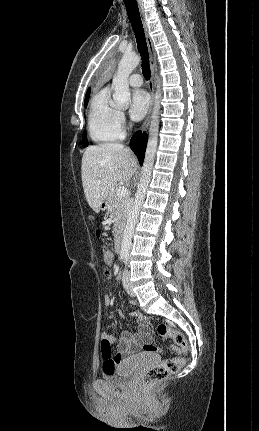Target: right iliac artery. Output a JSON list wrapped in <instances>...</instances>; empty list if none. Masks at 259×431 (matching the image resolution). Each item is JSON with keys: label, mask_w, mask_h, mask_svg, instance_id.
<instances>
[{"label": "right iliac artery", "mask_w": 259, "mask_h": 431, "mask_svg": "<svg viewBox=\"0 0 259 431\" xmlns=\"http://www.w3.org/2000/svg\"><path fill=\"white\" fill-rule=\"evenodd\" d=\"M123 258H124V256L122 255V256H121V259L123 260Z\"/></svg>", "instance_id": "1"}]
</instances>
